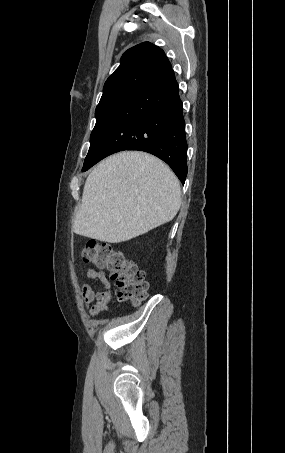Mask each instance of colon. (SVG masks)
<instances>
[{"label":"colon","mask_w":285,"mask_h":453,"mask_svg":"<svg viewBox=\"0 0 285 453\" xmlns=\"http://www.w3.org/2000/svg\"><path fill=\"white\" fill-rule=\"evenodd\" d=\"M85 262L107 269L117 287V298L139 305L147 297L148 282L145 273L123 252L111 246L89 240L81 253Z\"/></svg>","instance_id":"obj_1"}]
</instances>
